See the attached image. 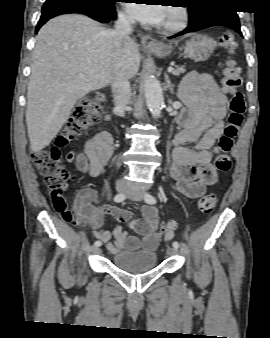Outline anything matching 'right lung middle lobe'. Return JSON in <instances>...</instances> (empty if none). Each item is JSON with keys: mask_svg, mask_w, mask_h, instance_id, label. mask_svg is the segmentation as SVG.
Instances as JSON below:
<instances>
[{"mask_svg": "<svg viewBox=\"0 0 270 338\" xmlns=\"http://www.w3.org/2000/svg\"><path fill=\"white\" fill-rule=\"evenodd\" d=\"M116 0H46V3L55 2H85L89 4H97L102 6H113Z\"/></svg>", "mask_w": 270, "mask_h": 338, "instance_id": "dd1d6c3e", "label": "right lung middle lobe"}]
</instances>
